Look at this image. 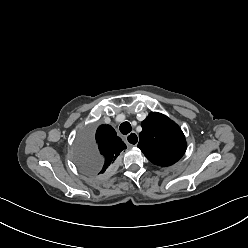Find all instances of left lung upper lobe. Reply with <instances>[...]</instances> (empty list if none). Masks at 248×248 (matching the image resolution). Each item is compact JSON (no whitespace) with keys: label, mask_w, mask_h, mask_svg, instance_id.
I'll return each mask as SVG.
<instances>
[{"label":"left lung upper lobe","mask_w":248,"mask_h":248,"mask_svg":"<svg viewBox=\"0 0 248 248\" xmlns=\"http://www.w3.org/2000/svg\"><path fill=\"white\" fill-rule=\"evenodd\" d=\"M138 148L155 165L166 167L176 163L186 151L185 136L167 116L152 112L141 123Z\"/></svg>","instance_id":"left-lung-upper-lobe-1"}]
</instances>
